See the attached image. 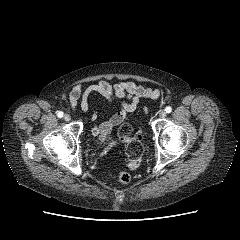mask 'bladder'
<instances>
[{
    "label": "bladder",
    "mask_w": 240,
    "mask_h": 240,
    "mask_svg": "<svg viewBox=\"0 0 240 240\" xmlns=\"http://www.w3.org/2000/svg\"><path fill=\"white\" fill-rule=\"evenodd\" d=\"M109 141H110V138H109V137H106V138H104V139H101V140L99 141V144H100V145H105V144H107Z\"/></svg>",
    "instance_id": "obj_1"
}]
</instances>
